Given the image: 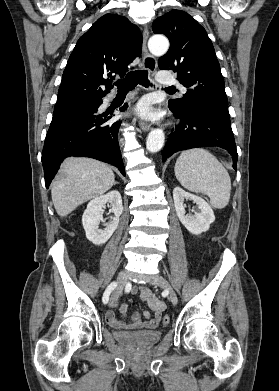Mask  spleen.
<instances>
[{
    "instance_id": "1",
    "label": "spleen",
    "mask_w": 279,
    "mask_h": 391,
    "mask_svg": "<svg viewBox=\"0 0 279 391\" xmlns=\"http://www.w3.org/2000/svg\"><path fill=\"white\" fill-rule=\"evenodd\" d=\"M175 176L187 190L210 198L216 209L227 206L231 179L224 166L208 150L193 148L183 151L175 164Z\"/></svg>"
}]
</instances>
